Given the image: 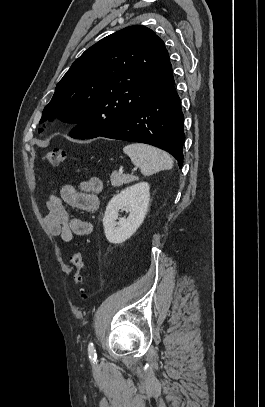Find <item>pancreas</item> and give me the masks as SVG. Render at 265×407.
<instances>
[{"label": "pancreas", "mask_w": 265, "mask_h": 407, "mask_svg": "<svg viewBox=\"0 0 265 407\" xmlns=\"http://www.w3.org/2000/svg\"><path fill=\"white\" fill-rule=\"evenodd\" d=\"M111 184L114 187L122 186L123 184H129L131 182L137 181L139 178L137 176L128 175V174H121L117 172H113L111 174Z\"/></svg>", "instance_id": "pancreas-1"}]
</instances>
